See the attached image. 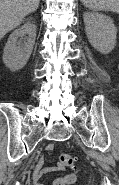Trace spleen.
<instances>
[{
	"mask_svg": "<svg viewBox=\"0 0 119 185\" xmlns=\"http://www.w3.org/2000/svg\"><path fill=\"white\" fill-rule=\"evenodd\" d=\"M93 11H113L119 13V0H80Z\"/></svg>",
	"mask_w": 119,
	"mask_h": 185,
	"instance_id": "spleen-1",
	"label": "spleen"
}]
</instances>
